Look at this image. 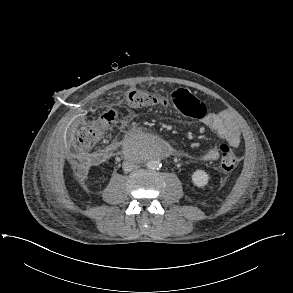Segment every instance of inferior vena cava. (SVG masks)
Here are the masks:
<instances>
[{
    "label": "inferior vena cava",
    "instance_id": "obj_1",
    "mask_svg": "<svg viewBox=\"0 0 293 293\" xmlns=\"http://www.w3.org/2000/svg\"><path fill=\"white\" fill-rule=\"evenodd\" d=\"M122 168L125 172H130L136 168V164L132 161H124L122 164Z\"/></svg>",
    "mask_w": 293,
    "mask_h": 293
}]
</instances>
